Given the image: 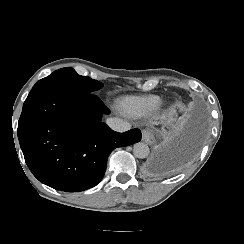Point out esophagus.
I'll return each instance as SVG.
<instances>
[{"instance_id": "obj_1", "label": "esophagus", "mask_w": 244, "mask_h": 244, "mask_svg": "<svg viewBox=\"0 0 244 244\" xmlns=\"http://www.w3.org/2000/svg\"><path fill=\"white\" fill-rule=\"evenodd\" d=\"M142 140L149 145L155 143V137L151 129L146 128L142 130Z\"/></svg>"}]
</instances>
